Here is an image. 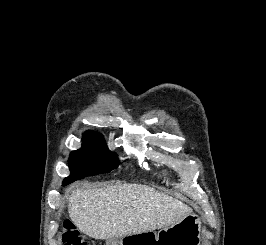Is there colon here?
<instances>
[{"label":"colon","instance_id":"1","mask_svg":"<svg viewBox=\"0 0 266 245\" xmlns=\"http://www.w3.org/2000/svg\"><path fill=\"white\" fill-rule=\"evenodd\" d=\"M63 245H88L83 236L78 232L72 221L66 219L63 223Z\"/></svg>","mask_w":266,"mask_h":245}]
</instances>
